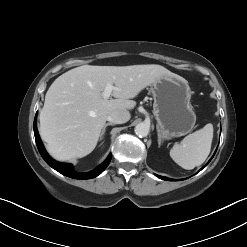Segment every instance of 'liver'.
<instances>
[{
    "instance_id": "6515ba94",
    "label": "liver",
    "mask_w": 247,
    "mask_h": 247,
    "mask_svg": "<svg viewBox=\"0 0 247 247\" xmlns=\"http://www.w3.org/2000/svg\"><path fill=\"white\" fill-rule=\"evenodd\" d=\"M162 75L178 76L161 65H83L59 76L49 87L40 112V136L49 154L65 161L82 158L96 147L108 115L131 110L135 98ZM114 84L115 99L102 96Z\"/></svg>"
}]
</instances>
